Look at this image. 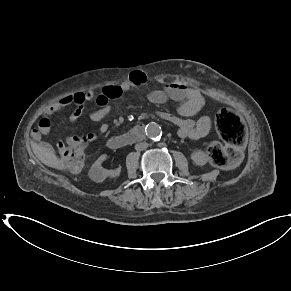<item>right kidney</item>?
Returning <instances> with one entry per match:
<instances>
[{"mask_svg": "<svg viewBox=\"0 0 291 291\" xmlns=\"http://www.w3.org/2000/svg\"><path fill=\"white\" fill-rule=\"evenodd\" d=\"M106 159V155L100 156L95 163L92 165L89 176L90 178L97 182H103L107 177H117L120 175L121 169L118 168L116 170H107L101 166V163Z\"/></svg>", "mask_w": 291, "mask_h": 291, "instance_id": "1", "label": "right kidney"}]
</instances>
